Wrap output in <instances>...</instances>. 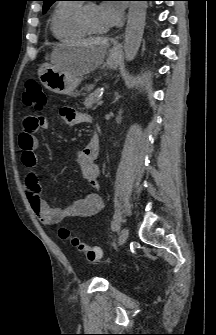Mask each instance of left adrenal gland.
<instances>
[{
	"label": "left adrenal gland",
	"mask_w": 216,
	"mask_h": 335,
	"mask_svg": "<svg viewBox=\"0 0 216 335\" xmlns=\"http://www.w3.org/2000/svg\"><path fill=\"white\" fill-rule=\"evenodd\" d=\"M122 96L119 95L118 92H115V99H114V102L118 101V99H120Z\"/></svg>",
	"instance_id": "a2214340"
}]
</instances>
